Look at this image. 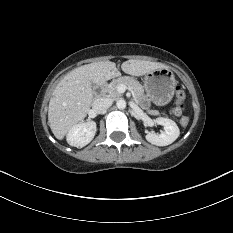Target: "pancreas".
<instances>
[{
	"label": "pancreas",
	"mask_w": 233,
	"mask_h": 233,
	"mask_svg": "<svg viewBox=\"0 0 233 233\" xmlns=\"http://www.w3.org/2000/svg\"><path fill=\"white\" fill-rule=\"evenodd\" d=\"M119 85H124L129 88L136 98L144 93V87L137 80L129 76L113 80L110 84L104 87L103 92L110 98H117L121 96V93L118 91Z\"/></svg>",
	"instance_id": "1"
}]
</instances>
